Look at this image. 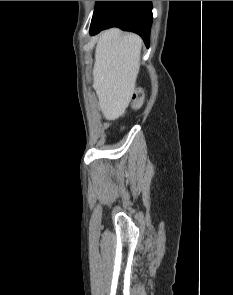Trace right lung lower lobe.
Returning <instances> with one entry per match:
<instances>
[{
    "label": "right lung lower lobe",
    "mask_w": 233,
    "mask_h": 295,
    "mask_svg": "<svg viewBox=\"0 0 233 295\" xmlns=\"http://www.w3.org/2000/svg\"><path fill=\"white\" fill-rule=\"evenodd\" d=\"M151 24V1H97L90 32L119 27L139 34L148 46Z\"/></svg>",
    "instance_id": "right-lung-lower-lobe-1"
}]
</instances>
